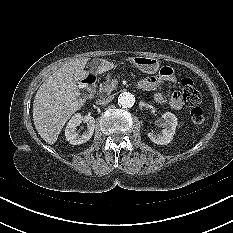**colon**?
Wrapping results in <instances>:
<instances>
[{
	"label": "colon",
	"mask_w": 233,
	"mask_h": 233,
	"mask_svg": "<svg viewBox=\"0 0 233 233\" xmlns=\"http://www.w3.org/2000/svg\"><path fill=\"white\" fill-rule=\"evenodd\" d=\"M182 97L184 101L192 107L191 120L194 124H202L205 120L203 109L199 106L201 95L190 77H182L181 79Z\"/></svg>",
	"instance_id": "colon-1"
}]
</instances>
